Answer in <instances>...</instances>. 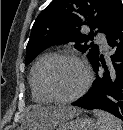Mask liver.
I'll return each mask as SVG.
<instances>
[{
    "instance_id": "6515ba94",
    "label": "liver",
    "mask_w": 123,
    "mask_h": 130,
    "mask_svg": "<svg viewBox=\"0 0 123 130\" xmlns=\"http://www.w3.org/2000/svg\"><path fill=\"white\" fill-rule=\"evenodd\" d=\"M79 114V109L70 106H36L28 114L24 128L30 130H50Z\"/></svg>"
}]
</instances>
